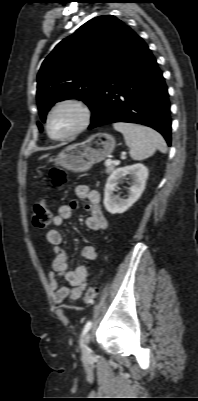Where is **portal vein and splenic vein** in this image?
I'll use <instances>...</instances> for the list:
<instances>
[{"mask_svg":"<svg viewBox=\"0 0 198 401\" xmlns=\"http://www.w3.org/2000/svg\"><path fill=\"white\" fill-rule=\"evenodd\" d=\"M121 158H122V159H124V158H125V156H124V155H122V156H121ZM106 163H107V164H111V163L118 164V163H119V161H111L110 159H108V160H106Z\"/></svg>","mask_w":198,"mask_h":401,"instance_id":"portal-vein-and-splenic-vein-1","label":"portal vein and splenic vein"}]
</instances>
